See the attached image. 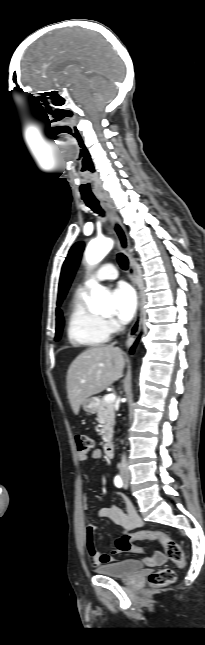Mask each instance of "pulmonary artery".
Masks as SVG:
<instances>
[{
    "label": "pulmonary artery",
    "instance_id": "obj_1",
    "mask_svg": "<svg viewBox=\"0 0 205 645\" xmlns=\"http://www.w3.org/2000/svg\"><path fill=\"white\" fill-rule=\"evenodd\" d=\"M118 277L117 269L114 265L108 263L102 265L92 278V281L114 280ZM89 285L81 287L79 290H85Z\"/></svg>",
    "mask_w": 205,
    "mask_h": 645
}]
</instances>
